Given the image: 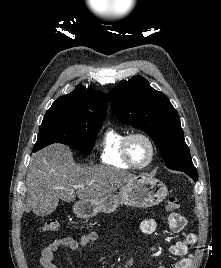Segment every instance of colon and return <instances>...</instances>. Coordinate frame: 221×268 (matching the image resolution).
I'll list each match as a JSON object with an SVG mask.
<instances>
[{"mask_svg": "<svg viewBox=\"0 0 221 268\" xmlns=\"http://www.w3.org/2000/svg\"><path fill=\"white\" fill-rule=\"evenodd\" d=\"M180 206V201L178 198L176 197H170L167 201L166 204V209L168 211H173L177 208H179ZM60 228V223L58 220L56 219H49L47 220L41 227V231L42 232H55L57 230H59Z\"/></svg>", "mask_w": 221, "mask_h": 268, "instance_id": "colon-1", "label": "colon"}]
</instances>
